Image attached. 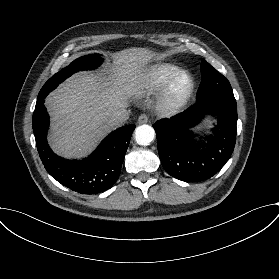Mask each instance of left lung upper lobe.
<instances>
[{"label": "left lung upper lobe", "mask_w": 279, "mask_h": 279, "mask_svg": "<svg viewBox=\"0 0 279 279\" xmlns=\"http://www.w3.org/2000/svg\"><path fill=\"white\" fill-rule=\"evenodd\" d=\"M201 76L202 81L197 92L196 102L217 98L236 103L231 85L227 78L220 74L204 59H202L201 63Z\"/></svg>", "instance_id": "obj_1"}]
</instances>
